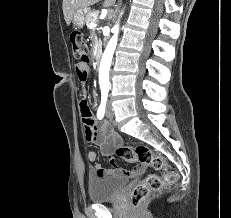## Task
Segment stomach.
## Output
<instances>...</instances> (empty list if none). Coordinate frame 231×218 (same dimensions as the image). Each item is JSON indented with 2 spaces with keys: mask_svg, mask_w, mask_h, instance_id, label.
<instances>
[{
  "mask_svg": "<svg viewBox=\"0 0 231 218\" xmlns=\"http://www.w3.org/2000/svg\"><path fill=\"white\" fill-rule=\"evenodd\" d=\"M89 11V8H81L73 14L72 21L75 27L82 28L84 26L85 18Z\"/></svg>",
  "mask_w": 231,
  "mask_h": 218,
  "instance_id": "0dacf381",
  "label": "stomach"
}]
</instances>
